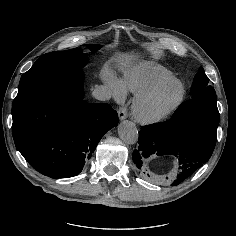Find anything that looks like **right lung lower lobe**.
Masks as SVG:
<instances>
[{"label": "right lung lower lobe", "instance_id": "1", "mask_svg": "<svg viewBox=\"0 0 236 236\" xmlns=\"http://www.w3.org/2000/svg\"><path fill=\"white\" fill-rule=\"evenodd\" d=\"M82 69L36 81L18 91L12 134L23 157L51 178L78 175L102 136L118 124L109 104L84 98Z\"/></svg>", "mask_w": 236, "mask_h": 236}]
</instances>
